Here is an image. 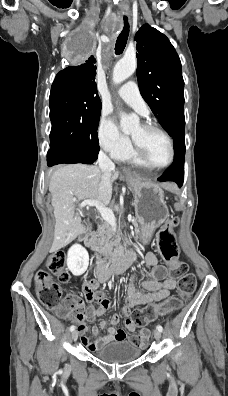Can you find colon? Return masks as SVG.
I'll use <instances>...</instances> for the list:
<instances>
[{"instance_id": "obj_1", "label": "colon", "mask_w": 228, "mask_h": 396, "mask_svg": "<svg viewBox=\"0 0 228 396\" xmlns=\"http://www.w3.org/2000/svg\"><path fill=\"white\" fill-rule=\"evenodd\" d=\"M178 224L176 217H170L158 233V247L162 257L169 264L170 276L178 280V296L167 299L160 305H147L133 311L131 321L139 327L145 326L157 316L174 312L182 306L196 288V276L188 272V265L178 260L174 229ZM46 267L60 282L66 283L70 274L66 265V256L62 251L51 254L46 260ZM36 295L43 306L52 310L60 317L68 316L75 308L80 307L79 301L71 295H64L61 287L45 270L35 275Z\"/></svg>"}]
</instances>
